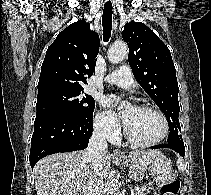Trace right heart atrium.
Segmentation results:
<instances>
[{"label": "right heart atrium", "instance_id": "right-heart-atrium-1", "mask_svg": "<svg viewBox=\"0 0 211 195\" xmlns=\"http://www.w3.org/2000/svg\"><path fill=\"white\" fill-rule=\"evenodd\" d=\"M94 127L103 137H106L111 141L118 139L120 125L111 112L100 110L94 118Z\"/></svg>", "mask_w": 211, "mask_h": 195}]
</instances>
